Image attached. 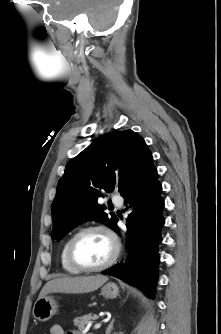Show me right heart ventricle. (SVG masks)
<instances>
[{"label": "right heart ventricle", "instance_id": "obj_1", "mask_svg": "<svg viewBox=\"0 0 221 334\" xmlns=\"http://www.w3.org/2000/svg\"><path fill=\"white\" fill-rule=\"evenodd\" d=\"M69 240L70 238H68L63 246H62V249H61V253H60V261H61V266L62 268L64 269V271L70 273V274H78L80 273L81 271L77 270L76 268H74L69 262H68V259H67V246H68V243H69Z\"/></svg>", "mask_w": 221, "mask_h": 334}]
</instances>
